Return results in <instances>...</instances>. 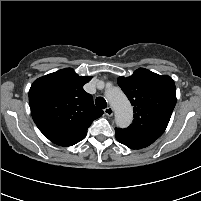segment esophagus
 I'll return each mask as SVG.
<instances>
[{"label":"esophagus","mask_w":201,"mask_h":201,"mask_svg":"<svg viewBox=\"0 0 201 201\" xmlns=\"http://www.w3.org/2000/svg\"><path fill=\"white\" fill-rule=\"evenodd\" d=\"M104 113H105V115H107V116H112L113 115V108L112 107H107L106 109H104Z\"/></svg>","instance_id":"1"}]
</instances>
